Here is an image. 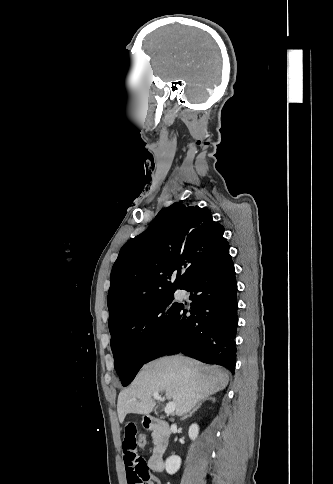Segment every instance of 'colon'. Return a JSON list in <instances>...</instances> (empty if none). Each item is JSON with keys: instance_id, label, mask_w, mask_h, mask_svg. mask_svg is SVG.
I'll return each instance as SVG.
<instances>
[{"instance_id": "obj_1", "label": "colon", "mask_w": 333, "mask_h": 484, "mask_svg": "<svg viewBox=\"0 0 333 484\" xmlns=\"http://www.w3.org/2000/svg\"><path fill=\"white\" fill-rule=\"evenodd\" d=\"M136 444L139 447H144L146 444V436L144 434H139L136 438Z\"/></svg>"}]
</instances>
